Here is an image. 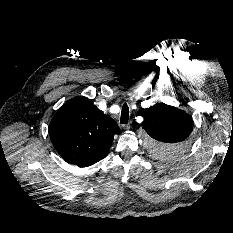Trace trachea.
Here are the masks:
<instances>
[{
    "mask_svg": "<svg viewBox=\"0 0 233 233\" xmlns=\"http://www.w3.org/2000/svg\"><path fill=\"white\" fill-rule=\"evenodd\" d=\"M128 120H129V107L127 106V104H124L121 110L120 123L127 124Z\"/></svg>",
    "mask_w": 233,
    "mask_h": 233,
    "instance_id": "3493384b",
    "label": "trachea"
}]
</instances>
